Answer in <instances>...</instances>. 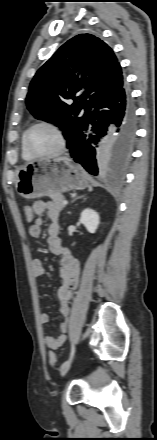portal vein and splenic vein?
Masks as SVG:
<instances>
[{
    "instance_id": "obj_1",
    "label": "portal vein and splenic vein",
    "mask_w": 157,
    "mask_h": 440,
    "mask_svg": "<svg viewBox=\"0 0 157 440\" xmlns=\"http://www.w3.org/2000/svg\"><path fill=\"white\" fill-rule=\"evenodd\" d=\"M62 203H63L64 205H67V204H68V202H67L66 200H64Z\"/></svg>"
}]
</instances>
